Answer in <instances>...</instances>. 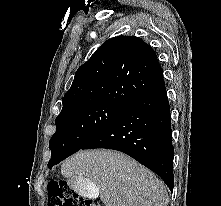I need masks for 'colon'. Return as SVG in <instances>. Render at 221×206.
<instances>
[{
    "mask_svg": "<svg viewBox=\"0 0 221 206\" xmlns=\"http://www.w3.org/2000/svg\"><path fill=\"white\" fill-rule=\"evenodd\" d=\"M66 181H50L47 185V206H101L91 200L79 198Z\"/></svg>",
    "mask_w": 221,
    "mask_h": 206,
    "instance_id": "5ec220e1",
    "label": "colon"
}]
</instances>
